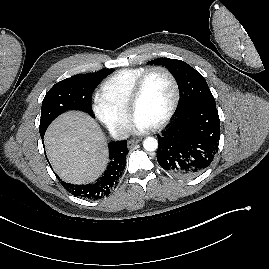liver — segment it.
Instances as JSON below:
<instances>
[{
	"label": "liver",
	"instance_id": "obj_1",
	"mask_svg": "<svg viewBox=\"0 0 269 269\" xmlns=\"http://www.w3.org/2000/svg\"><path fill=\"white\" fill-rule=\"evenodd\" d=\"M44 140L54 170L67 182H90L106 166L105 136L86 113L74 111L61 115L51 124Z\"/></svg>",
	"mask_w": 269,
	"mask_h": 269
}]
</instances>
